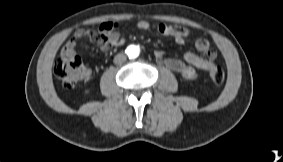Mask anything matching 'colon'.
Instances as JSON below:
<instances>
[{
    "mask_svg": "<svg viewBox=\"0 0 283 162\" xmlns=\"http://www.w3.org/2000/svg\"><path fill=\"white\" fill-rule=\"evenodd\" d=\"M53 71L67 88L75 87L88 73L81 59L75 55L59 57L54 63ZM209 78L217 86L224 83L225 72L220 63H214L209 69Z\"/></svg>",
    "mask_w": 283,
    "mask_h": 162,
    "instance_id": "obj_1",
    "label": "colon"
}]
</instances>
